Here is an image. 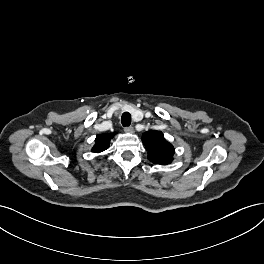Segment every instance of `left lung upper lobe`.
Listing matches in <instances>:
<instances>
[{"label":"left lung upper lobe","instance_id":"left-lung-upper-lobe-1","mask_svg":"<svg viewBox=\"0 0 264 264\" xmlns=\"http://www.w3.org/2000/svg\"><path fill=\"white\" fill-rule=\"evenodd\" d=\"M143 144L148 151V159L154 164L166 165L172 162L173 146L167 142L161 131L151 130L142 137Z\"/></svg>","mask_w":264,"mask_h":264}]
</instances>
